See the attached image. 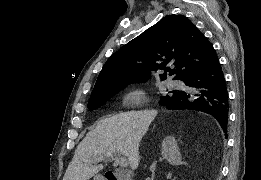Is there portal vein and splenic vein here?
Returning a JSON list of instances; mask_svg holds the SVG:
<instances>
[{
	"mask_svg": "<svg viewBox=\"0 0 261 180\" xmlns=\"http://www.w3.org/2000/svg\"><path fill=\"white\" fill-rule=\"evenodd\" d=\"M116 154H120V152H116ZM119 162L120 164H124V162L127 164V160H125V158H119Z\"/></svg>",
	"mask_w": 261,
	"mask_h": 180,
	"instance_id": "portal-vein-and-splenic-vein-1",
	"label": "portal vein and splenic vein"
}]
</instances>
